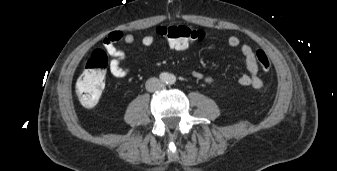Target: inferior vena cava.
Masks as SVG:
<instances>
[{
  "label": "inferior vena cava",
  "instance_id": "602c4592",
  "mask_svg": "<svg viewBox=\"0 0 337 171\" xmlns=\"http://www.w3.org/2000/svg\"><path fill=\"white\" fill-rule=\"evenodd\" d=\"M146 90L155 92L163 87V83L158 78H150L146 81Z\"/></svg>",
  "mask_w": 337,
  "mask_h": 171
}]
</instances>
